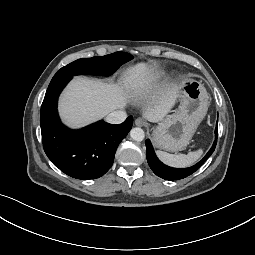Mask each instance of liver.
Returning a JSON list of instances; mask_svg holds the SVG:
<instances>
[{"instance_id": "6515ba94", "label": "liver", "mask_w": 255, "mask_h": 255, "mask_svg": "<svg viewBox=\"0 0 255 255\" xmlns=\"http://www.w3.org/2000/svg\"><path fill=\"white\" fill-rule=\"evenodd\" d=\"M154 77L145 63L130 68L121 83H105L85 77L75 78L63 92L59 111L63 121L73 128L85 126L110 112L123 109L130 99L148 91ZM179 95V86L173 85L148 106L143 116L159 122L169 113Z\"/></svg>"}]
</instances>
